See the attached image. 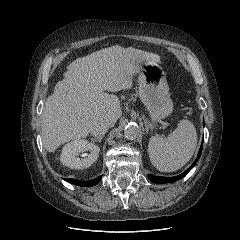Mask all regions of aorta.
<instances>
[{"label": "aorta", "instance_id": "1", "mask_svg": "<svg viewBox=\"0 0 240 240\" xmlns=\"http://www.w3.org/2000/svg\"><path fill=\"white\" fill-rule=\"evenodd\" d=\"M140 134V129L136 124L127 125L124 129V136L127 140H135Z\"/></svg>", "mask_w": 240, "mask_h": 240}]
</instances>
